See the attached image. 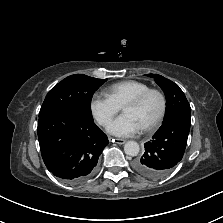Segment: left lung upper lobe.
I'll list each match as a JSON object with an SVG mask.
<instances>
[{
    "label": "left lung upper lobe",
    "mask_w": 223,
    "mask_h": 223,
    "mask_svg": "<svg viewBox=\"0 0 223 223\" xmlns=\"http://www.w3.org/2000/svg\"><path fill=\"white\" fill-rule=\"evenodd\" d=\"M146 76L154 78L166 96V111L163 123L175 118L191 121V108L180 87L158 74H147Z\"/></svg>",
    "instance_id": "1"
}]
</instances>
